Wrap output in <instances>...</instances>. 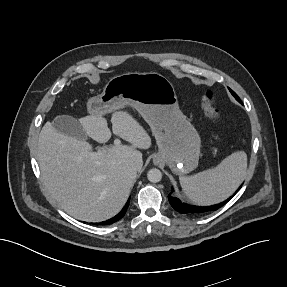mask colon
<instances>
[{"mask_svg": "<svg viewBox=\"0 0 287 287\" xmlns=\"http://www.w3.org/2000/svg\"><path fill=\"white\" fill-rule=\"evenodd\" d=\"M201 108L207 119L217 122L221 117L220 110L213 105V97L210 91H205L201 98Z\"/></svg>", "mask_w": 287, "mask_h": 287, "instance_id": "colon-1", "label": "colon"}]
</instances>
